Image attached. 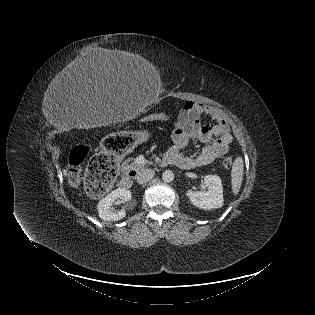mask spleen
Segmentation results:
<instances>
[{"label": "spleen", "instance_id": "1", "mask_svg": "<svg viewBox=\"0 0 315 315\" xmlns=\"http://www.w3.org/2000/svg\"><path fill=\"white\" fill-rule=\"evenodd\" d=\"M243 173H244L243 159L242 157H237L233 162L231 171L232 192L234 195H237L241 188V184L243 181Z\"/></svg>", "mask_w": 315, "mask_h": 315}]
</instances>
